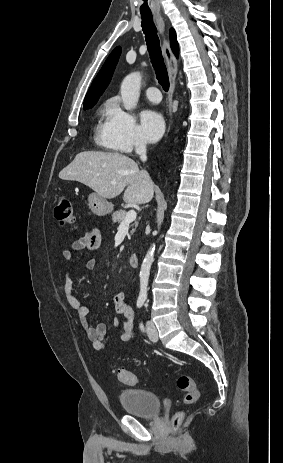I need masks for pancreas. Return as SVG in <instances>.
<instances>
[{
    "instance_id": "1",
    "label": "pancreas",
    "mask_w": 283,
    "mask_h": 463,
    "mask_svg": "<svg viewBox=\"0 0 283 463\" xmlns=\"http://www.w3.org/2000/svg\"><path fill=\"white\" fill-rule=\"evenodd\" d=\"M127 212L125 210L116 211L112 214L113 223H122L126 217ZM136 226V222H135ZM135 232V229L131 230V235Z\"/></svg>"
}]
</instances>
